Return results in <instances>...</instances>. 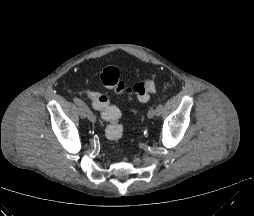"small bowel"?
<instances>
[{
	"mask_svg": "<svg viewBox=\"0 0 254 216\" xmlns=\"http://www.w3.org/2000/svg\"><path fill=\"white\" fill-rule=\"evenodd\" d=\"M89 98L91 99L90 95H89ZM91 100H92V99H91ZM92 103H93V106L95 107L93 100H92ZM95 108H96V107H95ZM96 109H97V108H96ZM97 110H99V109H97ZM99 111H100V110H99Z\"/></svg>",
	"mask_w": 254,
	"mask_h": 216,
	"instance_id": "c3829d8e",
	"label": "small bowel"
}]
</instances>
